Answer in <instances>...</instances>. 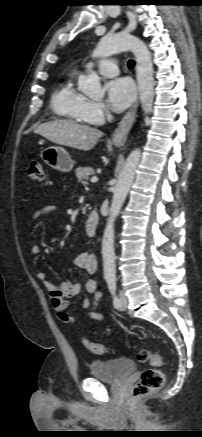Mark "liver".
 Instances as JSON below:
<instances>
[{"instance_id": "liver-1", "label": "liver", "mask_w": 202, "mask_h": 437, "mask_svg": "<svg viewBox=\"0 0 202 437\" xmlns=\"http://www.w3.org/2000/svg\"><path fill=\"white\" fill-rule=\"evenodd\" d=\"M34 132L53 143L83 151L92 149L103 136V132L96 128L69 120L42 123Z\"/></svg>"}]
</instances>
